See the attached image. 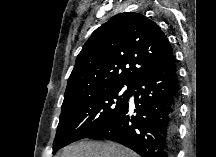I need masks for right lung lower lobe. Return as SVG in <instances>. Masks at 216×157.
Segmentation results:
<instances>
[{"label": "right lung lower lobe", "instance_id": "98d812e1", "mask_svg": "<svg viewBox=\"0 0 216 157\" xmlns=\"http://www.w3.org/2000/svg\"><path fill=\"white\" fill-rule=\"evenodd\" d=\"M134 95V102L130 101ZM180 87L173 52L131 85L128 102L87 138L118 142L141 157H174Z\"/></svg>", "mask_w": 216, "mask_h": 157}]
</instances>
